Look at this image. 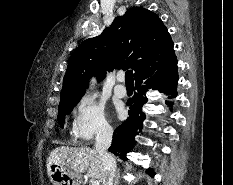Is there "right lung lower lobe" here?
<instances>
[{
  "mask_svg": "<svg viewBox=\"0 0 233 185\" xmlns=\"http://www.w3.org/2000/svg\"><path fill=\"white\" fill-rule=\"evenodd\" d=\"M135 81L137 92L127 102V105L130 106L129 117L115 129L112 145L109 148L110 152L119 155L123 160H126V154L131 151L135 144V136L142 129V121L145 119L142 106L147 102L146 91L148 89L158 90L169 95V98L177 96V59L174 58L166 64L141 72L135 77ZM166 104L172 106L173 102L166 101ZM147 172L151 176L154 175L150 168Z\"/></svg>",
  "mask_w": 233,
  "mask_h": 185,
  "instance_id": "1",
  "label": "right lung lower lobe"
}]
</instances>
